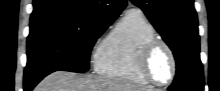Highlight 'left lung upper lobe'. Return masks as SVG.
Here are the masks:
<instances>
[{
  "label": "left lung upper lobe",
  "mask_w": 220,
  "mask_h": 91,
  "mask_svg": "<svg viewBox=\"0 0 220 91\" xmlns=\"http://www.w3.org/2000/svg\"><path fill=\"white\" fill-rule=\"evenodd\" d=\"M173 51L177 71L170 91H203L198 20L193 0H131Z\"/></svg>",
  "instance_id": "obj_1"
}]
</instances>
